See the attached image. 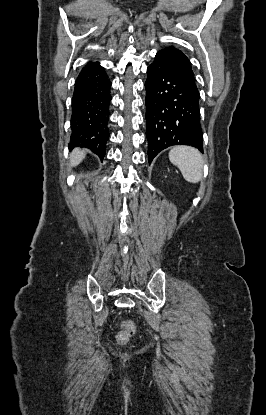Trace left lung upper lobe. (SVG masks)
<instances>
[{"label":"left lung upper lobe","instance_id":"left-lung-upper-lobe-1","mask_svg":"<svg viewBox=\"0 0 266 415\" xmlns=\"http://www.w3.org/2000/svg\"><path fill=\"white\" fill-rule=\"evenodd\" d=\"M159 53L164 55L172 64H174L184 74L189 83L197 89L191 63L182 51L170 46L160 50Z\"/></svg>","mask_w":266,"mask_h":415}]
</instances>
